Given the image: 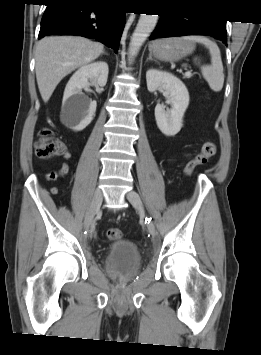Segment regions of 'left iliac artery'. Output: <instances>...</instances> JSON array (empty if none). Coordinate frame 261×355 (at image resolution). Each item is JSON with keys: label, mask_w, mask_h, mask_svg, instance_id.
<instances>
[{"label": "left iliac artery", "mask_w": 261, "mask_h": 355, "mask_svg": "<svg viewBox=\"0 0 261 355\" xmlns=\"http://www.w3.org/2000/svg\"><path fill=\"white\" fill-rule=\"evenodd\" d=\"M150 222H151V218H147V217H146L145 223H148V224H149Z\"/></svg>", "instance_id": "left-iliac-artery-1"}]
</instances>
